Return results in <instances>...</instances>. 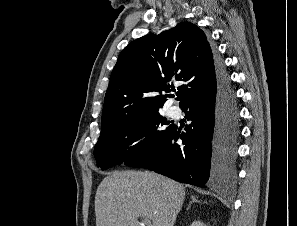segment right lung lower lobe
Instances as JSON below:
<instances>
[{"mask_svg":"<svg viewBox=\"0 0 297 226\" xmlns=\"http://www.w3.org/2000/svg\"><path fill=\"white\" fill-rule=\"evenodd\" d=\"M180 107L191 124L176 126L147 155L129 166L147 168L182 183L199 187L229 183L236 176L239 109L223 63L216 59V81L190 96ZM182 139L183 145L177 141Z\"/></svg>","mask_w":297,"mask_h":226,"instance_id":"obj_1","label":"right lung lower lobe"}]
</instances>
